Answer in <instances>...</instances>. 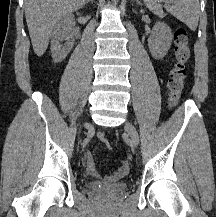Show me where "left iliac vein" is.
<instances>
[{"mask_svg": "<svg viewBox=\"0 0 216 217\" xmlns=\"http://www.w3.org/2000/svg\"><path fill=\"white\" fill-rule=\"evenodd\" d=\"M125 130L131 139L132 145L136 147L138 145V142H139V137H138V133L136 131V128L132 125V123L126 122L125 123Z\"/></svg>", "mask_w": 216, "mask_h": 217, "instance_id": "1", "label": "left iliac vein"}]
</instances>
